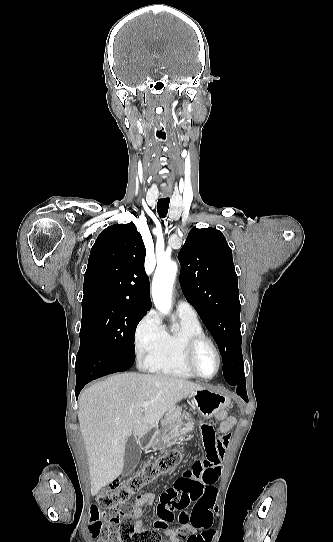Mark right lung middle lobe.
Here are the masks:
<instances>
[{
	"instance_id": "obj_1",
	"label": "right lung middle lobe",
	"mask_w": 333,
	"mask_h": 542,
	"mask_svg": "<svg viewBox=\"0 0 333 542\" xmlns=\"http://www.w3.org/2000/svg\"><path fill=\"white\" fill-rule=\"evenodd\" d=\"M146 311L123 305L90 304L82 306L80 346L93 341L115 357L134 363V336Z\"/></svg>"
}]
</instances>
